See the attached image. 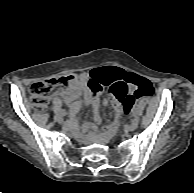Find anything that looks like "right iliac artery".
Returning a JSON list of instances; mask_svg holds the SVG:
<instances>
[{
	"instance_id": "right-iliac-artery-1",
	"label": "right iliac artery",
	"mask_w": 194,
	"mask_h": 193,
	"mask_svg": "<svg viewBox=\"0 0 194 193\" xmlns=\"http://www.w3.org/2000/svg\"><path fill=\"white\" fill-rule=\"evenodd\" d=\"M75 117V115L73 113H69L68 119L71 121L73 118Z\"/></svg>"
}]
</instances>
